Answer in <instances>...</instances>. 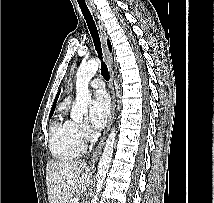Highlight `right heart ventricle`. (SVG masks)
I'll list each match as a JSON object with an SVG mask.
<instances>
[{
	"label": "right heart ventricle",
	"mask_w": 214,
	"mask_h": 203,
	"mask_svg": "<svg viewBox=\"0 0 214 203\" xmlns=\"http://www.w3.org/2000/svg\"><path fill=\"white\" fill-rule=\"evenodd\" d=\"M67 101L63 104L65 109ZM76 123L68 118L60 116L50 128L49 147L54 158L66 161L79 156L84 150V143L78 137L75 128Z\"/></svg>",
	"instance_id": "1"
}]
</instances>
